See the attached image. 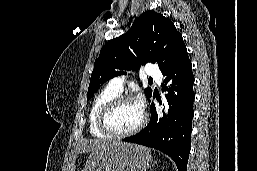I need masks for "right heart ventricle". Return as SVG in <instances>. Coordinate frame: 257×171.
Wrapping results in <instances>:
<instances>
[{
	"label": "right heart ventricle",
	"instance_id": "right-heart-ventricle-1",
	"mask_svg": "<svg viewBox=\"0 0 257 171\" xmlns=\"http://www.w3.org/2000/svg\"><path fill=\"white\" fill-rule=\"evenodd\" d=\"M118 95V92L106 87L95 96L88 113L89 131L93 137L103 139L110 137L100 130L98 126V117L103 106Z\"/></svg>",
	"mask_w": 257,
	"mask_h": 171
}]
</instances>
